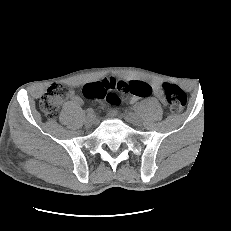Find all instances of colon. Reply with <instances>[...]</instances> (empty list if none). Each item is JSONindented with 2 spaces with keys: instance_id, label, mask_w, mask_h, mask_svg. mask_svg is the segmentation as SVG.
Here are the masks:
<instances>
[{
  "instance_id": "1",
  "label": "colon",
  "mask_w": 231,
  "mask_h": 231,
  "mask_svg": "<svg viewBox=\"0 0 231 231\" xmlns=\"http://www.w3.org/2000/svg\"><path fill=\"white\" fill-rule=\"evenodd\" d=\"M164 99L170 111L180 113L186 105L184 91L171 83H163ZM150 85L142 82H124L105 79L100 82L90 83L84 86L83 94L89 99H106L112 104H118L120 94H132L138 97H146L150 94ZM69 89L62 84H52L42 96L40 107L48 119H54L58 115L60 105L68 95Z\"/></svg>"
}]
</instances>
